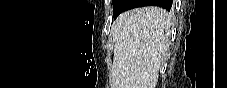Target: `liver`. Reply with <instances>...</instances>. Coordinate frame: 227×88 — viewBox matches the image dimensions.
<instances>
[{
    "instance_id": "6515ba94",
    "label": "liver",
    "mask_w": 227,
    "mask_h": 88,
    "mask_svg": "<svg viewBox=\"0 0 227 88\" xmlns=\"http://www.w3.org/2000/svg\"><path fill=\"white\" fill-rule=\"evenodd\" d=\"M171 25L169 13L157 6L126 11L113 22L111 88H156Z\"/></svg>"
}]
</instances>
